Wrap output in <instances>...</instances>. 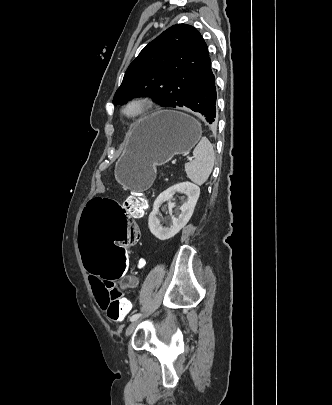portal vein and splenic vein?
<instances>
[{
	"instance_id": "obj_1",
	"label": "portal vein and splenic vein",
	"mask_w": 332,
	"mask_h": 405,
	"mask_svg": "<svg viewBox=\"0 0 332 405\" xmlns=\"http://www.w3.org/2000/svg\"><path fill=\"white\" fill-rule=\"evenodd\" d=\"M188 160H192V158H191V157H189V158H188ZM173 163H175V162H173Z\"/></svg>"
}]
</instances>
